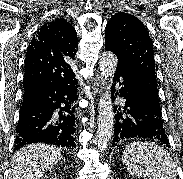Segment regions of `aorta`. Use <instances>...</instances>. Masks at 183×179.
<instances>
[{"instance_id":"aorta-1","label":"aorta","mask_w":183,"mask_h":179,"mask_svg":"<svg viewBox=\"0 0 183 179\" xmlns=\"http://www.w3.org/2000/svg\"><path fill=\"white\" fill-rule=\"evenodd\" d=\"M117 58L112 52H104L100 58V72L103 77V88L100 98L98 116L97 146L104 151L110 144L114 130V112L111 88L106 79L112 78L117 68Z\"/></svg>"}]
</instances>
